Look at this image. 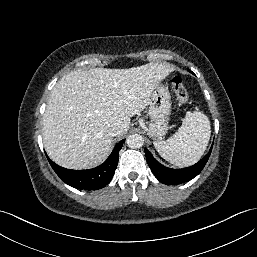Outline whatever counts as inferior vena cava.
Returning a JSON list of instances; mask_svg holds the SVG:
<instances>
[{
  "label": "inferior vena cava",
  "mask_w": 257,
  "mask_h": 257,
  "mask_svg": "<svg viewBox=\"0 0 257 257\" xmlns=\"http://www.w3.org/2000/svg\"><path fill=\"white\" fill-rule=\"evenodd\" d=\"M120 130L119 129H117V128H112L111 129V131L109 132V135L111 136V137H114V136H117V135H120Z\"/></svg>",
  "instance_id": "1"
}]
</instances>
